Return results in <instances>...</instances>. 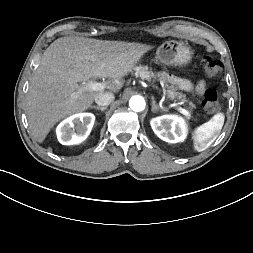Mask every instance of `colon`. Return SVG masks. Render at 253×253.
Wrapping results in <instances>:
<instances>
[{"mask_svg":"<svg viewBox=\"0 0 253 253\" xmlns=\"http://www.w3.org/2000/svg\"><path fill=\"white\" fill-rule=\"evenodd\" d=\"M202 67L208 76H216L221 71V63L212 56H205L202 59ZM203 107L207 112L214 113L219 110L218 94L213 89L205 90L203 94Z\"/></svg>","mask_w":253,"mask_h":253,"instance_id":"obj_1","label":"colon"}]
</instances>
